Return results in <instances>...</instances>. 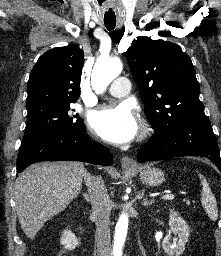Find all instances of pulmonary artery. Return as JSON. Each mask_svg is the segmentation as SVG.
<instances>
[{
	"instance_id": "1",
	"label": "pulmonary artery",
	"mask_w": 221,
	"mask_h": 256,
	"mask_svg": "<svg viewBox=\"0 0 221 256\" xmlns=\"http://www.w3.org/2000/svg\"><path fill=\"white\" fill-rule=\"evenodd\" d=\"M130 90V82L125 77H119L113 81L111 86L108 89V94L116 97L121 98L126 96Z\"/></svg>"
}]
</instances>
